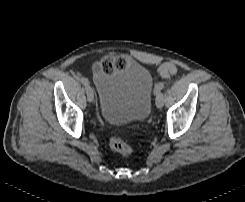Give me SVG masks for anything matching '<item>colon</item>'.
<instances>
[{"mask_svg":"<svg viewBox=\"0 0 245 202\" xmlns=\"http://www.w3.org/2000/svg\"><path fill=\"white\" fill-rule=\"evenodd\" d=\"M125 65V58L118 57H109L103 61H101L100 66L103 70L111 72L117 68L123 67ZM177 65L175 62H170L163 65L159 70V75L161 77H170L176 72ZM110 147L113 151L122 154L129 155L132 152L131 145L125 141L124 139L118 136H112L110 138Z\"/></svg>","mask_w":245,"mask_h":202,"instance_id":"1","label":"colon"}]
</instances>
